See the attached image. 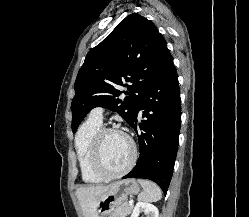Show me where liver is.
<instances>
[{
  "label": "liver",
  "mask_w": 249,
  "mask_h": 217,
  "mask_svg": "<svg viewBox=\"0 0 249 217\" xmlns=\"http://www.w3.org/2000/svg\"><path fill=\"white\" fill-rule=\"evenodd\" d=\"M109 188L110 185L89 186L77 189L76 195L84 217H98L97 200Z\"/></svg>",
  "instance_id": "obj_1"
}]
</instances>
